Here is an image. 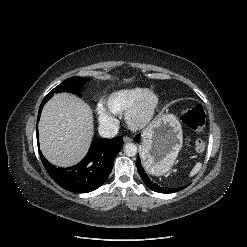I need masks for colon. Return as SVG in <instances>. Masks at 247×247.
Listing matches in <instances>:
<instances>
[{
  "label": "colon",
  "mask_w": 247,
  "mask_h": 247,
  "mask_svg": "<svg viewBox=\"0 0 247 247\" xmlns=\"http://www.w3.org/2000/svg\"><path fill=\"white\" fill-rule=\"evenodd\" d=\"M182 121L190 128L199 130L205 124L204 110L195 106L193 108L185 109L182 112ZM194 148L197 152H203L206 148V143L202 139H196L194 142Z\"/></svg>",
  "instance_id": "colon-1"
}]
</instances>
